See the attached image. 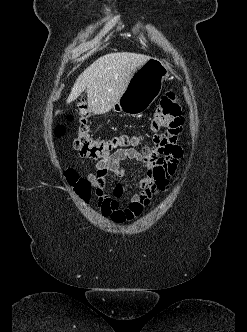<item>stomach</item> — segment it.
Masks as SVG:
<instances>
[{"instance_id": "obj_1", "label": "stomach", "mask_w": 247, "mask_h": 332, "mask_svg": "<svg viewBox=\"0 0 247 332\" xmlns=\"http://www.w3.org/2000/svg\"><path fill=\"white\" fill-rule=\"evenodd\" d=\"M169 67L157 58H149L132 75L124 93L113 109L124 115L141 116L160 95Z\"/></svg>"}]
</instances>
